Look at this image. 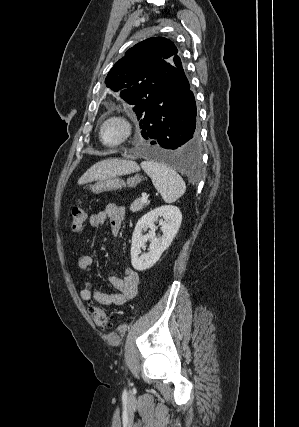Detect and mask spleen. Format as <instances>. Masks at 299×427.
Returning a JSON list of instances; mask_svg holds the SVG:
<instances>
[{"instance_id":"spleen-1","label":"spleen","mask_w":299,"mask_h":427,"mask_svg":"<svg viewBox=\"0 0 299 427\" xmlns=\"http://www.w3.org/2000/svg\"><path fill=\"white\" fill-rule=\"evenodd\" d=\"M142 169L151 178L154 187L166 203H172L186 191L182 177L171 167L153 160L141 163Z\"/></svg>"}]
</instances>
